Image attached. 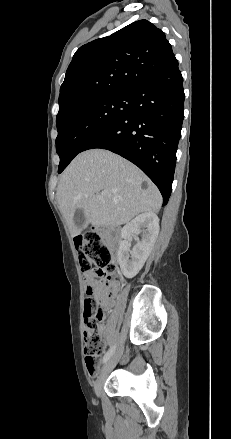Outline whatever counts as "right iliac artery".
<instances>
[{
    "label": "right iliac artery",
    "instance_id": "1",
    "mask_svg": "<svg viewBox=\"0 0 231 439\" xmlns=\"http://www.w3.org/2000/svg\"><path fill=\"white\" fill-rule=\"evenodd\" d=\"M114 351H115V345H114L113 347H111V348L106 352V354H105L104 357H103L102 362L105 363L106 361H108L109 358H110V357L112 356V354L114 353Z\"/></svg>",
    "mask_w": 231,
    "mask_h": 439
}]
</instances>
